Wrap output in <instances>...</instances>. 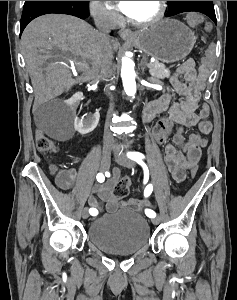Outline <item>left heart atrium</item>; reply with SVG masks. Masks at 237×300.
Segmentation results:
<instances>
[{
	"instance_id": "obj_1",
	"label": "left heart atrium",
	"mask_w": 237,
	"mask_h": 300,
	"mask_svg": "<svg viewBox=\"0 0 237 300\" xmlns=\"http://www.w3.org/2000/svg\"><path fill=\"white\" fill-rule=\"evenodd\" d=\"M110 5L116 8L118 11L129 16L137 4V1H108Z\"/></svg>"
}]
</instances>
